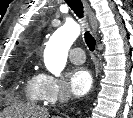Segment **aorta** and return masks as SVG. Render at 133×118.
<instances>
[{
	"label": "aorta",
	"mask_w": 133,
	"mask_h": 118,
	"mask_svg": "<svg viewBox=\"0 0 133 118\" xmlns=\"http://www.w3.org/2000/svg\"><path fill=\"white\" fill-rule=\"evenodd\" d=\"M80 26L76 22H67L55 31L44 52L47 69L55 76H60L66 62L68 51L80 35Z\"/></svg>",
	"instance_id": "762f6f07"
}]
</instances>
